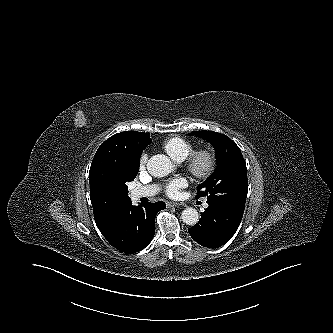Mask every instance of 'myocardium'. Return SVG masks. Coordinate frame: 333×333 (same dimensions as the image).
<instances>
[{"mask_svg": "<svg viewBox=\"0 0 333 333\" xmlns=\"http://www.w3.org/2000/svg\"><path fill=\"white\" fill-rule=\"evenodd\" d=\"M215 165V153L209 148H201L191 152L185 161L187 170L199 179L209 177L214 171Z\"/></svg>", "mask_w": 333, "mask_h": 333, "instance_id": "f54148a6", "label": "myocardium"}]
</instances>
